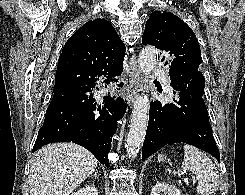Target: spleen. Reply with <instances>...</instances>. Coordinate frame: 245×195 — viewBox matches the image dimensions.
Masks as SVG:
<instances>
[{"label": "spleen", "mask_w": 245, "mask_h": 195, "mask_svg": "<svg viewBox=\"0 0 245 195\" xmlns=\"http://www.w3.org/2000/svg\"><path fill=\"white\" fill-rule=\"evenodd\" d=\"M182 168L197 176L196 190L199 195H212L218 190L220 180L215 164L194 146L184 145Z\"/></svg>", "instance_id": "1"}]
</instances>
